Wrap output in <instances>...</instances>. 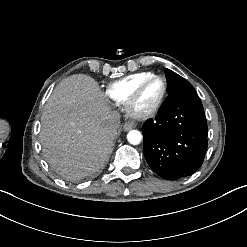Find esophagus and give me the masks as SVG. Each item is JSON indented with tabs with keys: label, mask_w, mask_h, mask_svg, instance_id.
<instances>
[{
	"label": "esophagus",
	"mask_w": 247,
	"mask_h": 247,
	"mask_svg": "<svg viewBox=\"0 0 247 247\" xmlns=\"http://www.w3.org/2000/svg\"><path fill=\"white\" fill-rule=\"evenodd\" d=\"M136 127V123L132 122V121H127L124 123L123 125V129L125 131H129L131 129H134Z\"/></svg>",
	"instance_id": "esophagus-1"
}]
</instances>
